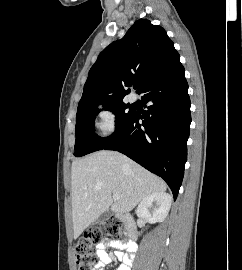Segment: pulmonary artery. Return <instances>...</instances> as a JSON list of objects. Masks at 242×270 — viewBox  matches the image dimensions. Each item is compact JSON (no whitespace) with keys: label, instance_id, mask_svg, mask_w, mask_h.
I'll return each mask as SVG.
<instances>
[{"label":"pulmonary artery","instance_id":"pulmonary-artery-1","mask_svg":"<svg viewBox=\"0 0 242 270\" xmlns=\"http://www.w3.org/2000/svg\"><path fill=\"white\" fill-rule=\"evenodd\" d=\"M129 99H130L131 102H134L136 100V95L134 93H131L129 95Z\"/></svg>","mask_w":242,"mask_h":270}]
</instances>
